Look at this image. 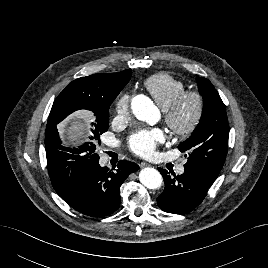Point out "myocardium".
<instances>
[{"label":"myocardium","instance_id":"f54148a6","mask_svg":"<svg viewBox=\"0 0 268 268\" xmlns=\"http://www.w3.org/2000/svg\"><path fill=\"white\" fill-rule=\"evenodd\" d=\"M188 100H193L194 109L187 121H182L181 112ZM205 111L203 95L196 90H187L180 93L174 101L163 110L164 120L170 131L182 138L190 136L201 122Z\"/></svg>","mask_w":268,"mask_h":268}]
</instances>
